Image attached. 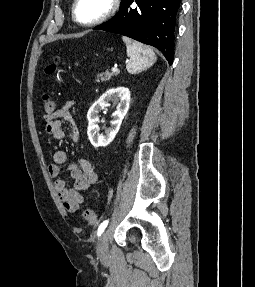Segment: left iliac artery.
Returning <instances> with one entry per match:
<instances>
[{"instance_id": "44dca946", "label": "left iliac artery", "mask_w": 255, "mask_h": 287, "mask_svg": "<svg viewBox=\"0 0 255 287\" xmlns=\"http://www.w3.org/2000/svg\"><path fill=\"white\" fill-rule=\"evenodd\" d=\"M108 224V220H105L104 222H102L98 228V232H97V235L100 236L103 231L105 230L106 226Z\"/></svg>"}]
</instances>
